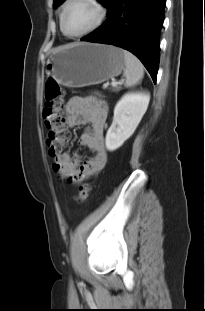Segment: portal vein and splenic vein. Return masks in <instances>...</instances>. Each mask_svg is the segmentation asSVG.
<instances>
[{"label": "portal vein and splenic vein", "mask_w": 205, "mask_h": 311, "mask_svg": "<svg viewBox=\"0 0 205 311\" xmlns=\"http://www.w3.org/2000/svg\"><path fill=\"white\" fill-rule=\"evenodd\" d=\"M113 86H116L117 84H119V82L117 83V82H115V81H112V83H111Z\"/></svg>", "instance_id": "portal-vein-and-splenic-vein-1"}]
</instances>
